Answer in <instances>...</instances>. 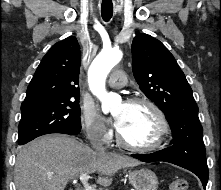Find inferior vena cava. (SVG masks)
Listing matches in <instances>:
<instances>
[{"label": "inferior vena cava", "instance_id": "602c4592", "mask_svg": "<svg viewBox=\"0 0 221 190\" xmlns=\"http://www.w3.org/2000/svg\"><path fill=\"white\" fill-rule=\"evenodd\" d=\"M92 147L97 151V152H105L106 148L103 147V144L101 142V139H100V135L94 139L92 142Z\"/></svg>", "mask_w": 221, "mask_h": 190}]
</instances>
